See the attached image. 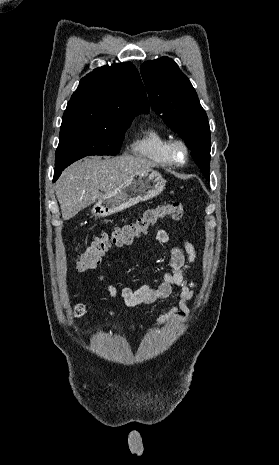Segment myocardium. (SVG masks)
Segmentation results:
<instances>
[{"instance_id":"myocardium-1","label":"myocardium","mask_w":279,"mask_h":465,"mask_svg":"<svg viewBox=\"0 0 279 465\" xmlns=\"http://www.w3.org/2000/svg\"><path fill=\"white\" fill-rule=\"evenodd\" d=\"M167 152L173 164H184L189 155V149L186 143L180 138H173L169 140L167 145Z\"/></svg>"}]
</instances>
